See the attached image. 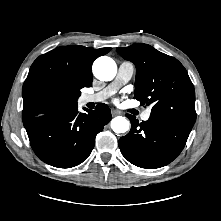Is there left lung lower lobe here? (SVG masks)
Wrapping results in <instances>:
<instances>
[{
    "mask_svg": "<svg viewBox=\"0 0 221 221\" xmlns=\"http://www.w3.org/2000/svg\"><path fill=\"white\" fill-rule=\"evenodd\" d=\"M131 130L119 139L122 155L132 164L146 169L163 167L172 162L183 150L192 128L152 117L138 120L129 114Z\"/></svg>",
    "mask_w": 221,
    "mask_h": 221,
    "instance_id": "0a47b994",
    "label": "left lung lower lobe"
}]
</instances>
